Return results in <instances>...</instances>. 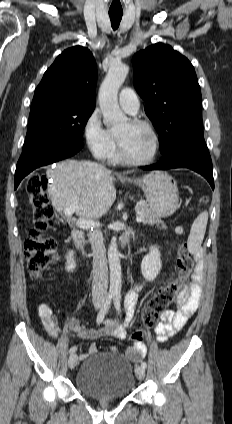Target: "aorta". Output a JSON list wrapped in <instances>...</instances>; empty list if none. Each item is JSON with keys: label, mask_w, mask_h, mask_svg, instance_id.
Returning <instances> with one entry per match:
<instances>
[{"label": "aorta", "mask_w": 232, "mask_h": 424, "mask_svg": "<svg viewBox=\"0 0 232 424\" xmlns=\"http://www.w3.org/2000/svg\"><path fill=\"white\" fill-rule=\"evenodd\" d=\"M129 67L124 64H113L99 89V104L106 126L117 127L127 121L126 115L118 105V90L128 75ZM108 262L110 268V292H121V264L120 254L116 244V237H112L108 247Z\"/></svg>", "instance_id": "762f6f07"}]
</instances>
